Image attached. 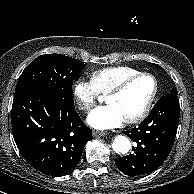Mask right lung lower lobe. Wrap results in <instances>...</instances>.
Returning <instances> with one entry per match:
<instances>
[{
  "mask_svg": "<svg viewBox=\"0 0 194 194\" xmlns=\"http://www.w3.org/2000/svg\"><path fill=\"white\" fill-rule=\"evenodd\" d=\"M11 123L15 143L26 162L50 176L70 173L92 139L73 99L39 90L14 95Z\"/></svg>",
  "mask_w": 194,
  "mask_h": 194,
  "instance_id": "right-lung-lower-lobe-1",
  "label": "right lung lower lobe"
}]
</instances>
